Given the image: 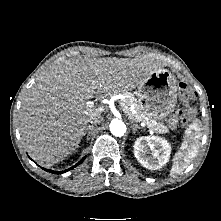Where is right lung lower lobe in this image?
Returning a JSON list of instances; mask_svg holds the SVG:
<instances>
[{
  "label": "right lung lower lobe",
  "mask_w": 221,
  "mask_h": 221,
  "mask_svg": "<svg viewBox=\"0 0 221 221\" xmlns=\"http://www.w3.org/2000/svg\"><path fill=\"white\" fill-rule=\"evenodd\" d=\"M84 159H85V157L82 158L76 165H74L73 167H71V168H69V169H67V170H64V171H52V170H48V169H45V168H42V169H44V170L47 171V172L54 173V174H62V173H65V172H67V171L73 169L74 167L78 166L79 164H81V163L84 161Z\"/></svg>",
  "instance_id": "obj_1"
}]
</instances>
